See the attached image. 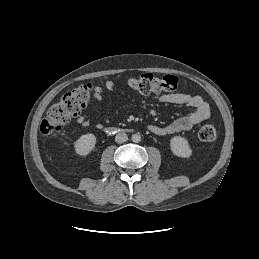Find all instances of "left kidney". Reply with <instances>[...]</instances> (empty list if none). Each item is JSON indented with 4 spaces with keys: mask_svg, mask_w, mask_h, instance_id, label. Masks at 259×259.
I'll list each match as a JSON object with an SVG mask.
<instances>
[{
    "mask_svg": "<svg viewBox=\"0 0 259 259\" xmlns=\"http://www.w3.org/2000/svg\"><path fill=\"white\" fill-rule=\"evenodd\" d=\"M170 148L172 153L178 157L188 158L192 154V150L187 139L181 136L171 138Z\"/></svg>",
    "mask_w": 259,
    "mask_h": 259,
    "instance_id": "left-kidney-1",
    "label": "left kidney"
}]
</instances>
